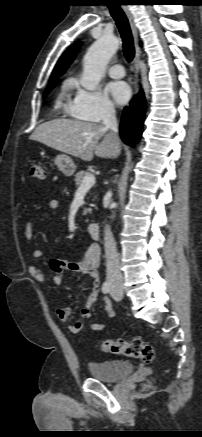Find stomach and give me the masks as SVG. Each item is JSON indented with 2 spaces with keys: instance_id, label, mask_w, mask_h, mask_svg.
<instances>
[{
  "instance_id": "0dacf381",
  "label": "stomach",
  "mask_w": 202,
  "mask_h": 437,
  "mask_svg": "<svg viewBox=\"0 0 202 437\" xmlns=\"http://www.w3.org/2000/svg\"><path fill=\"white\" fill-rule=\"evenodd\" d=\"M54 163L65 176H72L76 171V165L67 155L61 154L56 156Z\"/></svg>"
}]
</instances>
